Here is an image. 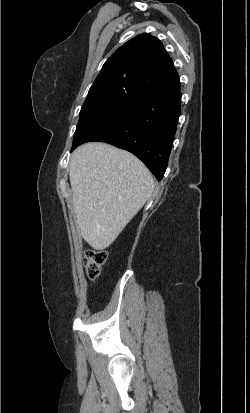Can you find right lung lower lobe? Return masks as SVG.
<instances>
[{"instance_id":"1","label":"right lung lower lobe","mask_w":250,"mask_h":413,"mask_svg":"<svg viewBox=\"0 0 250 413\" xmlns=\"http://www.w3.org/2000/svg\"><path fill=\"white\" fill-rule=\"evenodd\" d=\"M180 108V86L140 95L86 142H106L133 153L160 181L168 165Z\"/></svg>"}]
</instances>
